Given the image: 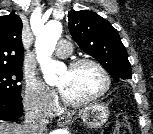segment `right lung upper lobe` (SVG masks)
<instances>
[{"label":"right lung upper lobe","mask_w":153,"mask_h":134,"mask_svg":"<svg viewBox=\"0 0 153 134\" xmlns=\"http://www.w3.org/2000/svg\"><path fill=\"white\" fill-rule=\"evenodd\" d=\"M22 20L15 13L0 16V67L22 66Z\"/></svg>","instance_id":"1"}]
</instances>
